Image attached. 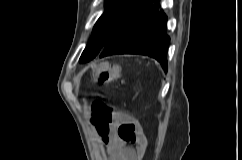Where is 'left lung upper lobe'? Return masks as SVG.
Instances as JSON below:
<instances>
[{"label":"left lung upper lobe","mask_w":242,"mask_h":160,"mask_svg":"<svg viewBox=\"0 0 242 160\" xmlns=\"http://www.w3.org/2000/svg\"><path fill=\"white\" fill-rule=\"evenodd\" d=\"M156 0H106V10L96 22L79 61L88 62L125 27L133 23Z\"/></svg>","instance_id":"left-lung-upper-lobe-1"}]
</instances>
